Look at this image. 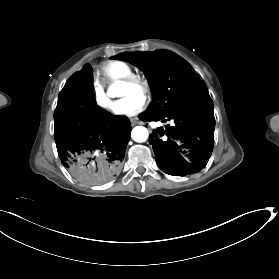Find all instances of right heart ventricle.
Masks as SVG:
<instances>
[{"instance_id": "1", "label": "right heart ventricle", "mask_w": 279, "mask_h": 279, "mask_svg": "<svg viewBox=\"0 0 279 279\" xmlns=\"http://www.w3.org/2000/svg\"><path fill=\"white\" fill-rule=\"evenodd\" d=\"M98 72L103 77V83L108 85L119 84L125 77L134 74L133 68L126 62L111 60L103 63Z\"/></svg>"}]
</instances>
